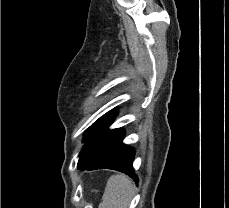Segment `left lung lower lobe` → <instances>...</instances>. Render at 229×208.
Wrapping results in <instances>:
<instances>
[{
	"instance_id": "left-lung-lower-lobe-1",
	"label": "left lung lower lobe",
	"mask_w": 229,
	"mask_h": 208,
	"mask_svg": "<svg viewBox=\"0 0 229 208\" xmlns=\"http://www.w3.org/2000/svg\"><path fill=\"white\" fill-rule=\"evenodd\" d=\"M123 130L100 131L85 139L79 154L78 169H113L139 180L133 168L134 149L122 143Z\"/></svg>"
}]
</instances>
